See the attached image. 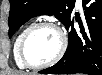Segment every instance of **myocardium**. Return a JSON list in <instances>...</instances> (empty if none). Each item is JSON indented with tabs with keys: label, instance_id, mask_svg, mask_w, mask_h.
Masks as SVG:
<instances>
[{
	"label": "myocardium",
	"instance_id": "1",
	"mask_svg": "<svg viewBox=\"0 0 102 75\" xmlns=\"http://www.w3.org/2000/svg\"><path fill=\"white\" fill-rule=\"evenodd\" d=\"M42 27L53 28L58 33V35L60 37L61 45H60V49H59L58 53L56 54V56L53 59L49 60L48 62H44V63H34L29 59V57L26 53V46H27L28 40L33 35V33H35L38 29H40ZM66 48H67V37H66V34L64 33V31L62 30V28L54 21L46 19V20H42V21L33 23V25L26 31V33L22 37V40L20 43V54H21V58L24 61L26 66L43 68V67L51 66V65L55 64L56 62H58L64 55Z\"/></svg>",
	"mask_w": 102,
	"mask_h": 75
}]
</instances>
